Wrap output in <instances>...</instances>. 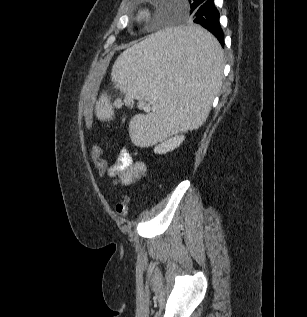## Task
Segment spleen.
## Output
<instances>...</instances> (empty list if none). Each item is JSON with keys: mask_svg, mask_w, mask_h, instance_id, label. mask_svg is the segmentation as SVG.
<instances>
[{"mask_svg": "<svg viewBox=\"0 0 307 317\" xmlns=\"http://www.w3.org/2000/svg\"><path fill=\"white\" fill-rule=\"evenodd\" d=\"M223 66L221 47L203 26L158 29L124 51L112 69L115 87L153 105L152 113L131 120L132 141L148 145L173 131L199 128L221 88ZM113 113L107 101L97 108L103 120Z\"/></svg>", "mask_w": 307, "mask_h": 317, "instance_id": "obj_1", "label": "spleen"}]
</instances>
